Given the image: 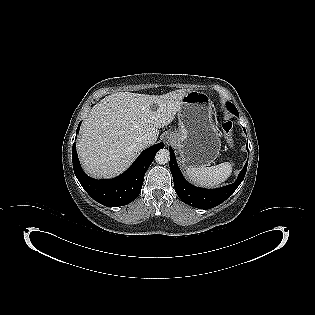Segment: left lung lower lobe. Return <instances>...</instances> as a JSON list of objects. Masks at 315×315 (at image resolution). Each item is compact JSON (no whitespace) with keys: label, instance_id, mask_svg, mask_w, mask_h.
Returning a JSON list of instances; mask_svg holds the SVG:
<instances>
[{"label":"left lung lower lobe","instance_id":"1","mask_svg":"<svg viewBox=\"0 0 315 315\" xmlns=\"http://www.w3.org/2000/svg\"><path fill=\"white\" fill-rule=\"evenodd\" d=\"M236 116L239 117V114H237ZM169 152H170L169 166L174 180L175 191L178 197L184 203L189 204L190 206L196 208L210 209L224 202L237 189V187L243 181L246 174L248 160L244 168L240 172L238 179L233 184L217 189L198 188L191 185L184 179L177 165L173 149L169 148Z\"/></svg>","mask_w":315,"mask_h":315}]
</instances>
